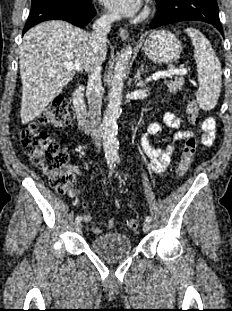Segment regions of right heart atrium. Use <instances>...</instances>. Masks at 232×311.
I'll list each match as a JSON object with an SVG mask.
<instances>
[{"instance_id": "obj_1", "label": "right heart atrium", "mask_w": 232, "mask_h": 311, "mask_svg": "<svg viewBox=\"0 0 232 311\" xmlns=\"http://www.w3.org/2000/svg\"><path fill=\"white\" fill-rule=\"evenodd\" d=\"M113 16L110 13H103L102 14V19L105 21H110L112 20Z\"/></svg>"}]
</instances>
